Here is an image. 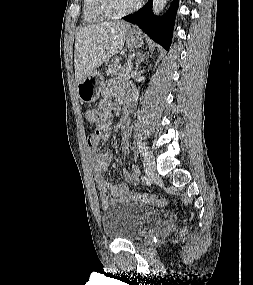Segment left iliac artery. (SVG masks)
<instances>
[{
  "label": "left iliac artery",
  "instance_id": "1",
  "mask_svg": "<svg viewBox=\"0 0 253 285\" xmlns=\"http://www.w3.org/2000/svg\"><path fill=\"white\" fill-rule=\"evenodd\" d=\"M137 145L142 156H146L148 154V150L145 144L141 140H138Z\"/></svg>",
  "mask_w": 253,
  "mask_h": 285
}]
</instances>
